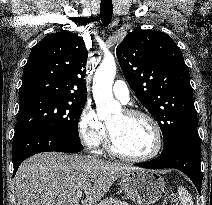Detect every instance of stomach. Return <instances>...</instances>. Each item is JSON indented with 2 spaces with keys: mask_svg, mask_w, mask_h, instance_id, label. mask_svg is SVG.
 <instances>
[{
  "mask_svg": "<svg viewBox=\"0 0 212 205\" xmlns=\"http://www.w3.org/2000/svg\"><path fill=\"white\" fill-rule=\"evenodd\" d=\"M121 188L126 197L137 205H151L160 200L165 180L157 172L136 169L121 176Z\"/></svg>",
  "mask_w": 212,
  "mask_h": 205,
  "instance_id": "stomach-1",
  "label": "stomach"
}]
</instances>
